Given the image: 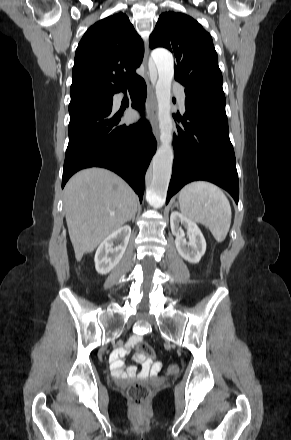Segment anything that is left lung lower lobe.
Instances as JSON below:
<instances>
[{"instance_id": "0a47b994", "label": "left lung lower lobe", "mask_w": 291, "mask_h": 440, "mask_svg": "<svg viewBox=\"0 0 291 440\" xmlns=\"http://www.w3.org/2000/svg\"><path fill=\"white\" fill-rule=\"evenodd\" d=\"M185 94L186 113L180 119L183 128L178 126L174 134V163L166 204L185 184L195 180L224 188L238 203L239 182L225 101L187 91Z\"/></svg>"}]
</instances>
